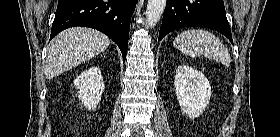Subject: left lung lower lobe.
I'll use <instances>...</instances> for the list:
<instances>
[{"instance_id": "1", "label": "left lung lower lobe", "mask_w": 280, "mask_h": 137, "mask_svg": "<svg viewBox=\"0 0 280 137\" xmlns=\"http://www.w3.org/2000/svg\"><path fill=\"white\" fill-rule=\"evenodd\" d=\"M183 27L210 28L233 43L223 0H168L158 41Z\"/></svg>"}]
</instances>
